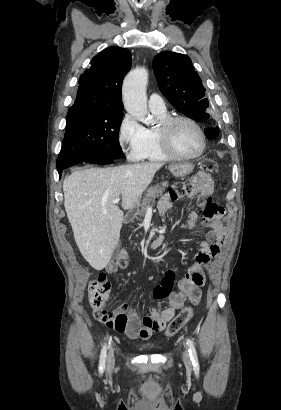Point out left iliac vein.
Here are the masks:
<instances>
[{
	"label": "left iliac vein",
	"mask_w": 281,
	"mask_h": 410,
	"mask_svg": "<svg viewBox=\"0 0 281 410\" xmlns=\"http://www.w3.org/2000/svg\"><path fill=\"white\" fill-rule=\"evenodd\" d=\"M183 362L188 369L192 368V363L190 359V354L187 349L183 351Z\"/></svg>",
	"instance_id": "obj_1"
}]
</instances>
